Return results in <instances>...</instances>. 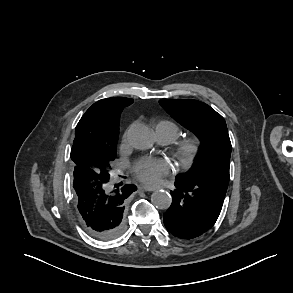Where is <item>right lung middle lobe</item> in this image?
Instances as JSON below:
<instances>
[{
    "label": "right lung middle lobe",
    "instance_id": "1",
    "mask_svg": "<svg viewBox=\"0 0 293 293\" xmlns=\"http://www.w3.org/2000/svg\"><path fill=\"white\" fill-rule=\"evenodd\" d=\"M75 140V139H74ZM76 144L73 141V147L76 148ZM115 148L107 149L101 152L98 156L92 158V161L97 165V169H92L101 176L109 177V171L111 169L112 161L115 159Z\"/></svg>",
    "mask_w": 293,
    "mask_h": 293
}]
</instances>
